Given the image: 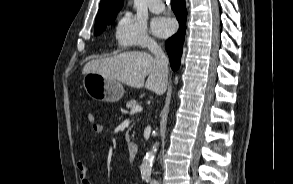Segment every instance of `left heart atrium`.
Masks as SVG:
<instances>
[{"label":"left heart atrium","instance_id":"1","mask_svg":"<svg viewBox=\"0 0 293 184\" xmlns=\"http://www.w3.org/2000/svg\"><path fill=\"white\" fill-rule=\"evenodd\" d=\"M152 29L156 35L160 37H166L173 32L174 25L171 20L167 18H159L154 21Z\"/></svg>","mask_w":293,"mask_h":184}]
</instances>
